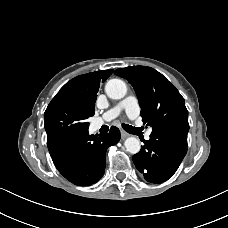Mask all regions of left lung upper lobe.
Segmentation results:
<instances>
[{"label": "left lung upper lobe", "mask_w": 228, "mask_h": 228, "mask_svg": "<svg viewBox=\"0 0 228 228\" xmlns=\"http://www.w3.org/2000/svg\"><path fill=\"white\" fill-rule=\"evenodd\" d=\"M133 86L141 107L144 124L153 131H174L187 137L188 111L184 98L165 76L147 66H131L115 70Z\"/></svg>", "instance_id": "obj_1"}]
</instances>
